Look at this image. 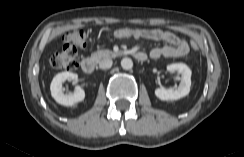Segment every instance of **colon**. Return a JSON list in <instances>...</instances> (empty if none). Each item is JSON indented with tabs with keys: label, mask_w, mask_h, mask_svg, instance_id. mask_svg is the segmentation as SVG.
<instances>
[{
	"label": "colon",
	"mask_w": 244,
	"mask_h": 157,
	"mask_svg": "<svg viewBox=\"0 0 244 157\" xmlns=\"http://www.w3.org/2000/svg\"><path fill=\"white\" fill-rule=\"evenodd\" d=\"M137 33L135 28H120L114 31V37L117 39L134 38ZM65 44L59 51L54 52L49 59L51 67L58 70H73L78 67V50L86 47L87 34L82 30H75L64 36ZM193 50L198 48L192 41Z\"/></svg>",
	"instance_id": "obj_1"
}]
</instances>
